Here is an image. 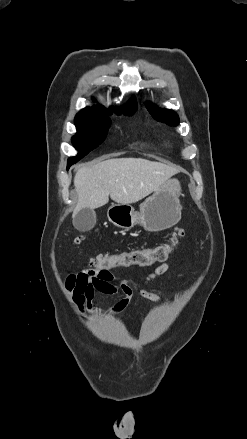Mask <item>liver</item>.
<instances>
[{
	"mask_svg": "<svg viewBox=\"0 0 247 439\" xmlns=\"http://www.w3.org/2000/svg\"><path fill=\"white\" fill-rule=\"evenodd\" d=\"M177 173L174 167L143 158H114L85 165L74 177L78 201L73 217L83 208L104 206L109 196L119 204L138 202Z\"/></svg>",
	"mask_w": 247,
	"mask_h": 439,
	"instance_id": "obj_1",
	"label": "liver"
}]
</instances>
